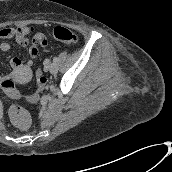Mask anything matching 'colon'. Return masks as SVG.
I'll return each instance as SVG.
<instances>
[{
	"label": "colon",
	"mask_w": 172,
	"mask_h": 172,
	"mask_svg": "<svg viewBox=\"0 0 172 172\" xmlns=\"http://www.w3.org/2000/svg\"><path fill=\"white\" fill-rule=\"evenodd\" d=\"M52 36L64 43L68 44H77L79 42V37L74 32L63 26H57L54 28ZM47 84L46 76L38 71L37 73V91L34 95L30 96L28 99L30 101H37L39 99L40 94L45 89ZM4 94L11 99H20L21 94L15 87V83L12 78L6 77L1 81L0 84ZM9 115L13 122L20 129H27L30 126V118L29 115L18 105H11L9 109Z\"/></svg>",
	"instance_id": "5ec220e1"
}]
</instances>
